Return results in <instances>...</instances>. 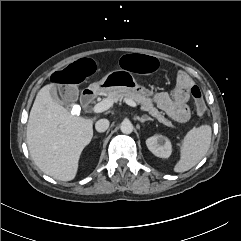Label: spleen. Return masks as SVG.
<instances>
[{
    "instance_id": "spleen-1",
    "label": "spleen",
    "mask_w": 241,
    "mask_h": 241,
    "mask_svg": "<svg viewBox=\"0 0 241 241\" xmlns=\"http://www.w3.org/2000/svg\"><path fill=\"white\" fill-rule=\"evenodd\" d=\"M212 130L210 125L191 129L182 140L180 159L174 171L183 173L194 167L206 155L211 144Z\"/></svg>"
}]
</instances>
